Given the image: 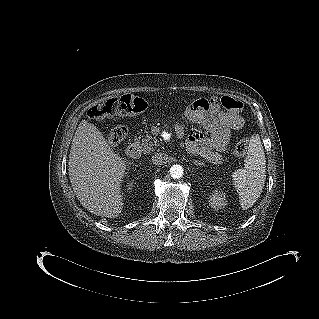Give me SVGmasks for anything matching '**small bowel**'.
Masks as SVG:
<instances>
[{
  "instance_id": "c3829d8e",
  "label": "small bowel",
  "mask_w": 319,
  "mask_h": 319,
  "mask_svg": "<svg viewBox=\"0 0 319 319\" xmlns=\"http://www.w3.org/2000/svg\"><path fill=\"white\" fill-rule=\"evenodd\" d=\"M243 118L236 112L224 113L216 108L210 111L204 127L210 132V138L202 134L189 136L186 146L193 154H200L211 162H219L222 154L228 149L231 132L243 126ZM178 135H182L183 128L176 125Z\"/></svg>"
}]
</instances>
